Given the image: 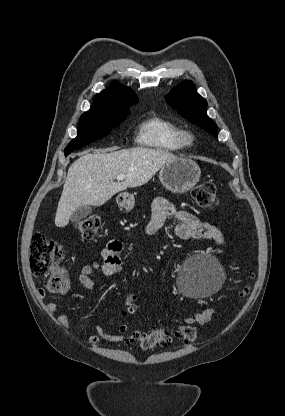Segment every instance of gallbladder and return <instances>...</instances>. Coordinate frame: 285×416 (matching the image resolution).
Masks as SVG:
<instances>
[{
    "label": "gallbladder",
    "mask_w": 285,
    "mask_h": 416,
    "mask_svg": "<svg viewBox=\"0 0 285 416\" xmlns=\"http://www.w3.org/2000/svg\"><path fill=\"white\" fill-rule=\"evenodd\" d=\"M90 214H92L91 206H82V208H77V210H75L70 220L71 222H80V220L87 218V216H90Z\"/></svg>",
    "instance_id": "gallbladder-1"
}]
</instances>
